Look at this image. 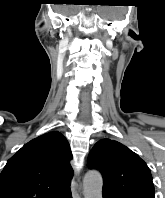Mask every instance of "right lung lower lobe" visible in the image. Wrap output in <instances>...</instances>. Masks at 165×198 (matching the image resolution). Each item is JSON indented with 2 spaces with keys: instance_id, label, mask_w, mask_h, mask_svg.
Masks as SVG:
<instances>
[{
  "instance_id": "right-lung-lower-lobe-1",
  "label": "right lung lower lobe",
  "mask_w": 165,
  "mask_h": 198,
  "mask_svg": "<svg viewBox=\"0 0 165 198\" xmlns=\"http://www.w3.org/2000/svg\"><path fill=\"white\" fill-rule=\"evenodd\" d=\"M66 198H72V195H71V193L66 197Z\"/></svg>"
}]
</instances>
